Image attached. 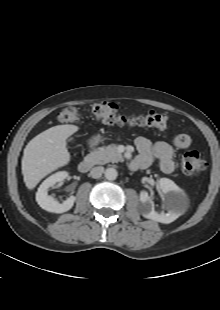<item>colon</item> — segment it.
Masks as SVG:
<instances>
[{
  "instance_id": "1",
  "label": "colon",
  "mask_w": 220,
  "mask_h": 310,
  "mask_svg": "<svg viewBox=\"0 0 220 310\" xmlns=\"http://www.w3.org/2000/svg\"><path fill=\"white\" fill-rule=\"evenodd\" d=\"M89 110L96 118L107 124L158 129H167L169 126V117L166 114L155 111L125 114L119 106L110 102L94 103ZM79 118L80 115L75 107H67L58 115L62 123H75ZM206 166V162L196 151H188L182 157L181 167L185 174H199L206 169Z\"/></svg>"
}]
</instances>
